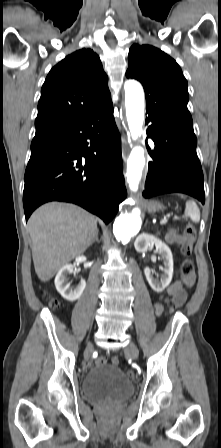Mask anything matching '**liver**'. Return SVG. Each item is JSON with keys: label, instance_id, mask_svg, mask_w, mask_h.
Masks as SVG:
<instances>
[{"label": "liver", "instance_id": "1", "mask_svg": "<svg viewBox=\"0 0 221 448\" xmlns=\"http://www.w3.org/2000/svg\"><path fill=\"white\" fill-rule=\"evenodd\" d=\"M28 228L35 272L43 282L83 254L98 230L94 215L76 205L59 202L39 207L31 215Z\"/></svg>", "mask_w": 221, "mask_h": 448}]
</instances>
